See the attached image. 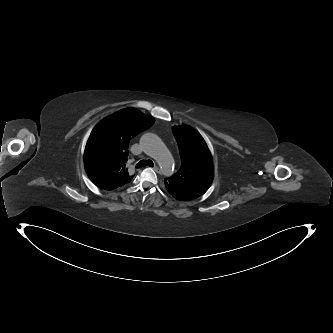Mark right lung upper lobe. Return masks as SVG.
<instances>
[{"mask_svg": "<svg viewBox=\"0 0 333 333\" xmlns=\"http://www.w3.org/2000/svg\"><path fill=\"white\" fill-rule=\"evenodd\" d=\"M154 121L152 116L126 108L106 117L93 129L86 143L84 163L89 178L99 188L114 190L131 181L133 175L125 167L129 140L150 128Z\"/></svg>", "mask_w": 333, "mask_h": 333, "instance_id": "right-lung-upper-lobe-1", "label": "right lung upper lobe"}]
</instances>
